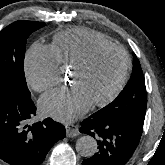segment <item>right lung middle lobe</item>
I'll list each match as a JSON object with an SVG mask.
<instances>
[{"label": "right lung middle lobe", "instance_id": "obj_1", "mask_svg": "<svg viewBox=\"0 0 165 165\" xmlns=\"http://www.w3.org/2000/svg\"><path fill=\"white\" fill-rule=\"evenodd\" d=\"M43 26L42 22L20 20L0 31V89L30 97L24 75L25 45L29 35Z\"/></svg>", "mask_w": 165, "mask_h": 165}]
</instances>
